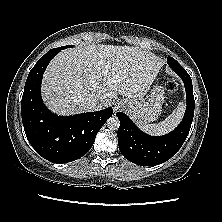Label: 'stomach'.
<instances>
[{
	"mask_svg": "<svg viewBox=\"0 0 222 222\" xmlns=\"http://www.w3.org/2000/svg\"><path fill=\"white\" fill-rule=\"evenodd\" d=\"M164 90L159 85L149 88V94L143 98L125 99L127 112L131 118L139 125L155 121L161 114L164 102Z\"/></svg>",
	"mask_w": 222,
	"mask_h": 222,
	"instance_id": "obj_1",
	"label": "stomach"
}]
</instances>
